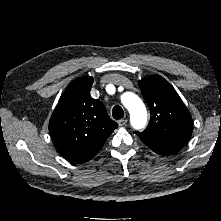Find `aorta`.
<instances>
[{
	"instance_id": "obj_1",
	"label": "aorta",
	"mask_w": 221,
	"mask_h": 221,
	"mask_svg": "<svg viewBox=\"0 0 221 221\" xmlns=\"http://www.w3.org/2000/svg\"><path fill=\"white\" fill-rule=\"evenodd\" d=\"M121 101L130 113V123L136 130L145 127L147 111L142 100L134 93L127 92L122 95Z\"/></svg>"
}]
</instances>
